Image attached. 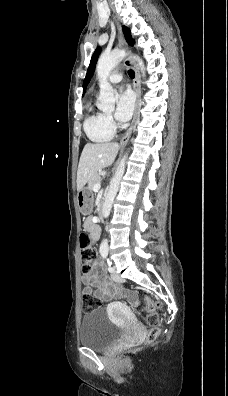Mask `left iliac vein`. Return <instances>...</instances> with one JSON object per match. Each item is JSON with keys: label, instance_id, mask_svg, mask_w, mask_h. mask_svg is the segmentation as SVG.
<instances>
[{"label": "left iliac vein", "instance_id": "4c4485c4", "mask_svg": "<svg viewBox=\"0 0 228 396\" xmlns=\"http://www.w3.org/2000/svg\"><path fill=\"white\" fill-rule=\"evenodd\" d=\"M114 271L111 272V277L116 282H123L124 280L116 273L115 267H113Z\"/></svg>", "mask_w": 228, "mask_h": 396}]
</instances>
